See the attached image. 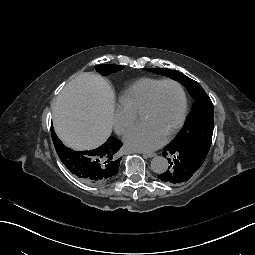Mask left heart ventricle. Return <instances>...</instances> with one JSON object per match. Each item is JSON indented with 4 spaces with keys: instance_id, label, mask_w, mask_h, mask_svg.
<instances>
[{
    "instance_id": "b2bd125f",
    "label": "left heart ventricle",
    "mask_w": 255,
    "mask_h": 255,
    "mask_svg": "<svg viewBox=\"0 0 255 255\" xmlns=\"http://www.w3.org/2000/svg\"><path fill=\"white\" fill-rule=\"evenodd\" d=\"M181 105L179 89L175 85L165 84L158 90L153 106L140 117L143 123L166 138L177 123Z\"/></svg>"
}]
</instances>
